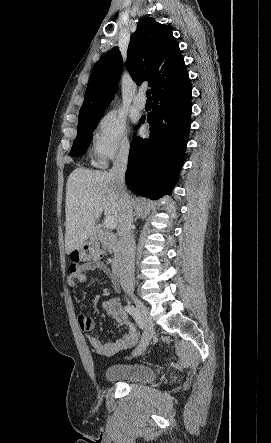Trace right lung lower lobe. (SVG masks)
Here are the masks:
<instances>
[{"label": "right lung lower lobe", "mask_w": 271, "mask_h": 443, "mask_svg": "<svg viewBox=\"0 0 271 443\" xmlns=\"http://www.w3.org/2000/svg\"><path fill=\"white\" fill-rule=\"evenodd\" d=\"M191 91L188 78L153 96L152 112L137 125L147 121L150 136L134 137L130 147L126 182L132 192L150 199L171 193L188 141Z\"/></svg>", "instance_id": "1"}]
</instances>
